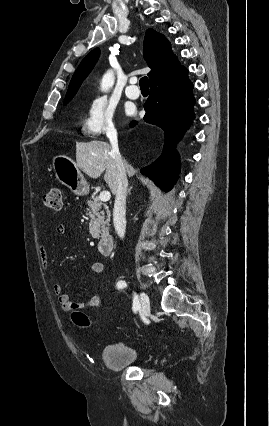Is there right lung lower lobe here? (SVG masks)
Masks as SVG:
<instances>
[{
	"label": "right lung lower lobe",
	"instance_id": "1",
	"mask_svg": "<svg viewBox=\"0 0 269 426\" xmlns=\"http://www.w3.org/2000/svg\"><path fill=\"white\" fill-rule=\"evenodd\" d=\"M188 70L180 66L174 72L150 84V95L144 104V120L164 130L165 144L161 156L141 172L156 185L169 191L179 174V155L174 145L183 137L185 130L195 118L192 94L193 84ZM136 121L130 125L135 126Z\"/></svg>",
	"mask_w": 269,
	"mask_h": 426
}]
</instances>
